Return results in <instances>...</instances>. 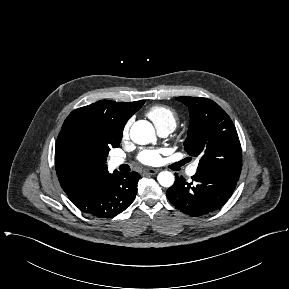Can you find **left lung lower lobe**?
Returning a JSON list of instances; mask_svg holds the SVG:
<instances>
[{
	"mask_svg": "<svg viewBox=\"0 0 289 289\" xmlns=\"http://www.w3.org/2000/svg\"><path fill=\"white\" fill-rule=\"evenodd\" d=\"M236 180L208 171H197L192 182L177 177L166 196L183 213L201 216L219 209L232 195Z\"/></svg>",
	"mask_w": 289,
	"mask_h": 289,
	"instance_id": "1",
	"label": "left lung lower lobe"
}]
</instances>
